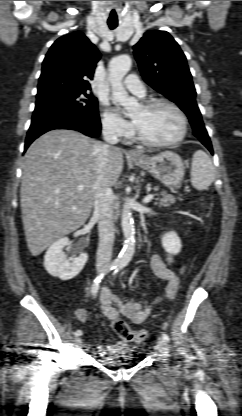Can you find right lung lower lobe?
Listing matches in <instances>:
<instances>
[{
    "label": "right lung lower lobe",
    "instance_id": "right-lung-lower-lobe-1",
    "mask_svg": "<svg viewBox=\"0 0 242 416\" xmlns=\"http://www.w3.org/2000/svg\"><path fill=\"white\" fill-rule=\"evenodd\" d=\"M54 129H72L82 132L90 137L100 134L101 123L99 116L82 119L60 112H46L32 118L31 126L27 132L25 148L43 133Z\"/></svg>",
    "mask_w": 242,
    "mask_h": 416
}]
</instances>
